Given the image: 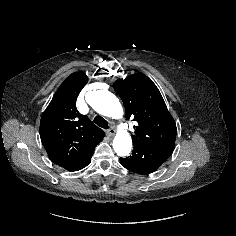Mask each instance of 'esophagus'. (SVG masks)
<instances>
[{"instance_id": "obj_1", "label": "esophagus", "mask_w": 236, "mask_h": 236, "mask_svg": "<svg viewBox=\"0 0 236 236\" xmlns=\"http://www.w3.org/2000/svg\"><path fill=\"white\" fill-rule=\"evenodd\" d=\"M114 134H115V130L113 129V128H111V129H109L108 131H107V135H108V137H113L114 136Z\"/></svg>"}]
</instances>
